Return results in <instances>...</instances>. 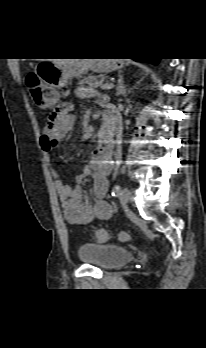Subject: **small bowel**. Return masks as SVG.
<instances>
[{
	"label": "small bowel",
	"instance_id": "small-bowel-1",
	"mask_svg": "<svg viewBox=\"0 0 206 348\" xmlns=\"http://www.w3.org/2000/svg\"><path fill=\"white\" fill-rule=\"evenodd\" d=\"M78 91L83 97L97 95L90 88L81 87ZM71 111L72 105L63 103L49 116L45 133L40 138V146L55 179L66 221L73 225H83L94 220H107L112 215V208L104 196L108 189V176L112 169V150L97 147L93 152L92 160L84 167L82 176L77 178L76 184L73 186L63 184L52 167L49 153L56 149L60 140L74 128L76 118ZM88 177L92 178L93 201L85 199L81 186L82 181Z\"/></svg>",
	"mask_w": 206,
	"mask_h": 348
}]
</instances>
